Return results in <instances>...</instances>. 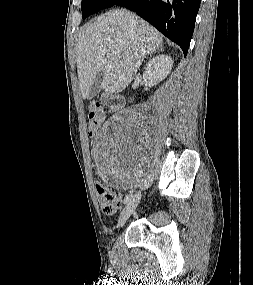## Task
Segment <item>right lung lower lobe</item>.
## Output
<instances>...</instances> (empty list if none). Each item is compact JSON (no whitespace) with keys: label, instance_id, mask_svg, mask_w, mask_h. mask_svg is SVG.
I'll return each instance as SVG.
<instances>
[{"label":"right lung lower lobe","instance_id":"1","mask_svg":"<svg viewBox=\"0 0 253 285\" xmlns=\"http://www.w3.org/2000/svg\"><path fill=\"white\" fill-rule=\"evenodd\" d=\"M201 0H119L177 43L187 55Z\"/></svg>","mask_w":253,"mask_h":285}]
</instances>
